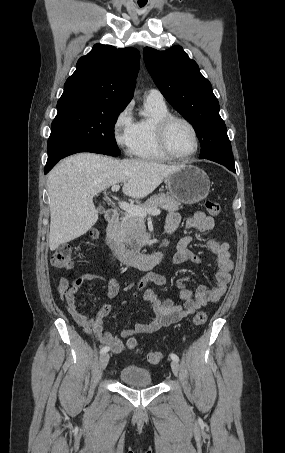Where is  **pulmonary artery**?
I'll list each match as a JSON object with an SVG mask.
<instances>
[{
  "label": "pulmonary artery",
  "instance_id": "1",
  "mask_svg": "<svg viewBox=\"0 0 285 453\" xmlns=\"http://www.w3.org/2000/svg\"><path fill=\"white\" fill-rule=\"evenodd\" d=\"M147 101L165 103L163 94L158 89H150L146 94Z\"/></svg>",
  "mask_w": 285,
  "mask_h": 453
}]
</instances>
